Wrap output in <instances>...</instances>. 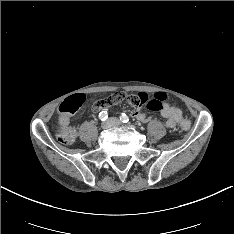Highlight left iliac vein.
Wrapping results in <instances>:
<instances>
[{"label": "left iliac vein", "mask_w": 234, "mask_h": 234, "mask_svg": "<svg viewBox=\"0 0 234 234\" xmlns=\"http://www.w3.org/2000/svg\"><path fill=\"white\" fill-rule=\"evenodd\" d=\"M110 122H111V124H112L113 126H118V125H120V121H119V119H117V118H111V119H110Z\"/></svg>", "instance_id": "1"}]
</instances>
